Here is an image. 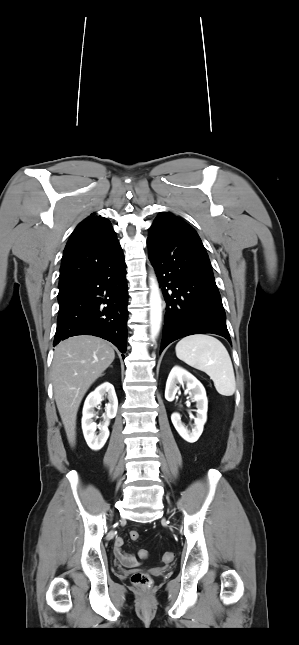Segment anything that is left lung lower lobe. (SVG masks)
Returning a JSON list of instances; mask_svg holds the SVG:
<instances>
[{
    "mask_svg": "<svg viewBox=\"0 0 299 645\" xmlns=\"http://www.w3.org/2000/svg\"><path fill=\"white\" fill-rule=\"evenodd\" d=\"M147 245L166 301L161 351L192 334L212 333L231 341L209 257L194 228L185 221L152 226Z\"/></svg>",
    "mask_w": 299,
    "mask_h": 645,
    "instance_id": "left-lung-lower-lobe-1",
    "label": "left lung lower lobe"
}]
</instances>
